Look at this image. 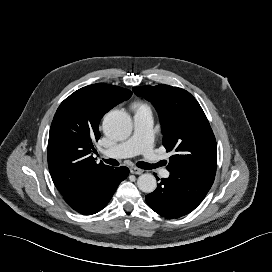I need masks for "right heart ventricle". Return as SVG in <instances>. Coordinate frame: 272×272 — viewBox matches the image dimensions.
<instances>
[{
  "instance_id": "obj_1",
  "label": "right heart ventricle",
  "mask_w": 272,
  "mask_h": 272,
  "mask_svg": "<svg viewBox=\"0 0 272 272\" xmlns=\"http://www.w3.org/2000/svg\"><path fill=\"white\" fill-rule=\"evenodd\" d=\"M135 108L137 109H149V106L145 103H137L135 104Z\"/></svg>"
}]
</instances>
